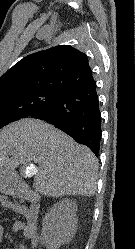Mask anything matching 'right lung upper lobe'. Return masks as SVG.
<instances>
[{
	"label": "right lung upper lobe",
	"instance_id": "cb5924a9",
	"mask_svg": "<svg viewBox=\"0 0 135 249\" xmlns=\"http://www.w3.org/2000/svg\"><path fill=\"white\" fill-rule=\"evenodd\" d=\"M94 80L85 53L59 45L30 54L0 77V96L32 91L66 92Z\"/></svg>",
	"mask_w": 135,
	"mask_h": 249
}]
</instances>
